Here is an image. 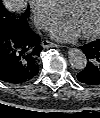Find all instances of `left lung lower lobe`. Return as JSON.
<instances>
[{
    "label": "left lung lower lobe",
    "mask_w": 100,
    "mask_h": 118,
    "mask_svg": "<svg viewBox=\"0 0 100 118\" xmlns=\"http://www.w3.org/2000/svg\"><path fill=\"white\" fill-rule=\"evenodd\" d=\"M87 58L85 68L77 74L81 83L89 86H100V38L80 46Z\"/></svg>",
    "instance_id": "obj_1"
}]
</instances>
